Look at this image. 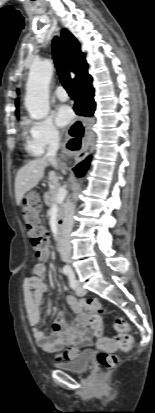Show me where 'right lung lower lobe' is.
<instances>
[{"label":"right lung lower lobe","instance_id":"98d812e1","mask_svg":"<svg viewBox=\"0 0 155 413\" xmlns=\"http://www.w3.org/2000/svg\"><path fill=\"white\" fill-rule=\"evenodd\" d=\"M92 77L87 73L79 77L73 82L75 91L74 111L78 115L91 116L95 111L96 104L94 102V89L92 87ZM91 157H87L83 162L78 164L73 171L78 177H82L90 164Z\"/></svg>","mask_w":155,"mask_h":413}]
</instances>
